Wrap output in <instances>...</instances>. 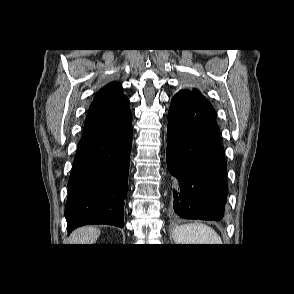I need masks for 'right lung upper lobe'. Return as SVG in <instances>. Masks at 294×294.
<instances>
[{
  "label": "right lung upper lobe",
  "instance_id": "obj_1",
  "mask_svg": "<svg viewBox=\"0 0 294 294\" xmlns=\"http://www.w3.org/2000/svg\"><path fill=\"white\" fill-rule=\"evenodd\" d=\"M122 90L123 88L120 83L111 82L107 84L98 91L90 105V109L106 107L122 101L126 98V96L123 95Z\"/></svg>",
  "mask_w": 294,
  "mask_h": 294
}]
</instances>
